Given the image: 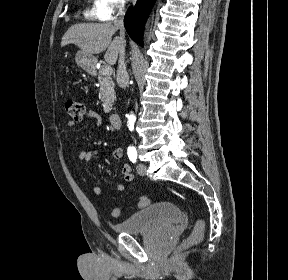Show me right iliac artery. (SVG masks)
I'll return each instance as SVG.
<instances>
[{
    "mask_svg": "<svg viewBox=\"0 0 288 280\" xmlns=\"http://www.w3.org/2000/svg\"><path fill=\"white\" fill-rule=\"evenodd\" d=\"M128 157L133 163L136 162L137 152H136L135 147L133 146L128 147Z\"/></svg>",
    "mask_w": 288,
    "mask_h": 280,
    "instance_id": "82829eb1",
    "label": "right iliac artery"
}]
</instances>
